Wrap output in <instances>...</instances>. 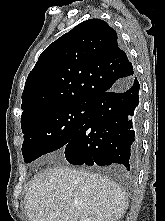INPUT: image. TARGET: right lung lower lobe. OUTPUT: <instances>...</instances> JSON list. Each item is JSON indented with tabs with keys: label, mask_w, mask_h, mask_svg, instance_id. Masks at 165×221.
<instances>
[{
	"label": "right lung lower lobe",
	"mask_w": 165,
	"mask_h": 221,
	"mask_svg": "<svg viewBox=\"0 0 165 221\" xmlns=\"http://www.w3.org/2000/svg\"><path fill=\"white\" fill-rule=\"evenodd\" d=\"M139 89L133 77L91 101L88 120L65 146L69 163L136 169L142 126Z\"/></svg>",
	"instance_id": "right-lung-lower-lobe-1"
}]
</instances>
